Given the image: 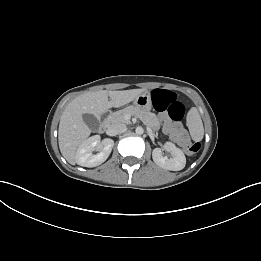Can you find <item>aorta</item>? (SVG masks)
Listing matches in <instances>:
<instances>
[{"label":"aorta","mask_w":261,"mask_h":261,"mask_svg":"<svg viewBox=\"0 0 261 261\" xmlns=\"http://www.w3.org/2000/svg\"><path fill=\"white\" fill-rule=\"evenodd\" d=\"M135 132H136V134L141 135V134H143L144 130H143V128H142L141 126H138V127L136 128Z\"/></svg>","instance_id":"obj_1"}]
</instances>
